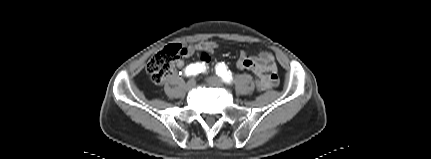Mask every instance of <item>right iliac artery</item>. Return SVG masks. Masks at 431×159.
<instances>
[{
    "mask_svg": "<svg viewBox=\"0 0 431 159\" xmlns=\"http://www.w3.org/2000/svg\"><path fill=\"white\" fill-rule=\"evenodd\" d=\"M205 71V66H203L200 63H195V64H190L189 66L186 67L185 69V74L187 76H195L201 72Z\"/></svg>",
    "mask_w": 431,
    "mask_h": 159,
    "instance_id": "82829eb1",
    "label": "right iliac artery"
}]
</instances>
